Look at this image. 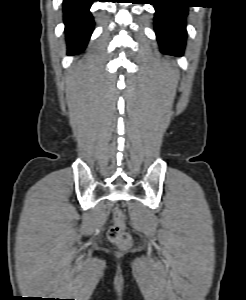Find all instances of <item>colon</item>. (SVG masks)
I'll use <instances>...</instances> for the list:
<instances>
[{"label":"colon","instance_id":"obj_1","mask_svg":"<svg viewBox=\"0 0 246 300\" xmlns=\"http://www.w3.org/2000/svg\"><path fill=\"white\" fill-rule=\"evenodd\" d=\"M113 225L107 231L108 239L119 246H128L131 242L130 235L125 229L124 214L119 207L113 211Z\"/></svg>","mask_w":246,"mask_h":300}]
</instances>
